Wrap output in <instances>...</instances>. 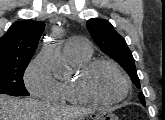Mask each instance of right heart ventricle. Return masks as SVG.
<instances>
[{"mask_svg":"<svg viewBox=\"0 0 165 120\" xmlns=\"http://www.w3.org/2000/svg\"><path fill=\"white\" fill-rule=\"evenodd\" d=\"M71 65L75 68L74 77L60 82L59 94L57 101L69 104H82L87 102L76 88V79L80 69L92 60V53L88 54H68L66 53Z\"/></svg>","mask_w":165,"mask_h":120,"instance_id":"right-heart-ventricle-1","label":"right heart ventricle"}]
</instances>
